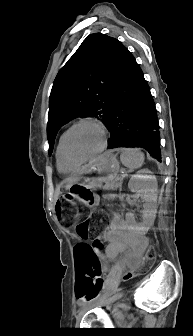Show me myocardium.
I'll return each mask as SVG.
<instances>
[{
  "instance_id": "obj_1",
  "label": "myocardium",
  "mask_w": 193,
  "mask_h": 336,
  "mask_svg": "<svg viewBox=\"0 0 193 336\" xmlns=\"http://www.w3.org/2000/svg\"><path fill=\"white\" fill-rule=\"evenodd\" d=\"M82 124H92L96 127H98L100 129V131L103 134V142L102 145L100 146V148L95 151L94 153L87 155V156H83V157H75L73 156L69 149H68V137L69 134L78 126L82 125ZM108 139H109V134H108V130L106 129V127L98 120L93 119V118H82L76 122H74L63 134L62 137V152L63 155L65 157V159L70 162V163H83L85 161H88L96 156H98L99 154H101L107 144H108Z\"/></svg>"
}]
</instances>
